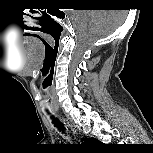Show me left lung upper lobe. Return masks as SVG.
Wrapping results in <instances>:
<instances>
[{
  "label": "left lung upper lobe",
  "mask_w": 153,
  "mask_h": 153,
  "mask_svg": "<svg viewBox=\"0 0 153 153\" xmlns=\"http://www.w3.org/2000/svg\"><path fill=\"white\" fill-rule=\"evenodd\" d=\"M83 144L86 146H99L101 143L95 139L84 138Z\"/></svg>",
  "instance_id": "5c2ea615"
}]
</instances>
